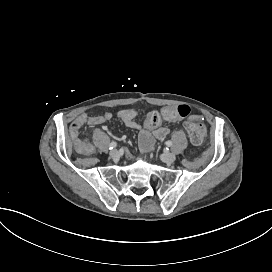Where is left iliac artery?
<instances>
[{"label":"left iliac artery","instance_id":"44dca946","mask_svg":"<svg viewBox=\"0 0 272 272\" xmlns=\"http://www.w3.org/2000/svg\"><path fill=\"white\" fill-rule=\"evenodd\" d=\"M166 145L170 147L172 145V142L170 140L166 141Z\"/></svg>","mask_w":272,"mask_h":272}]
</instances>
